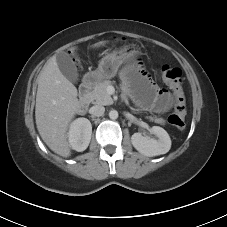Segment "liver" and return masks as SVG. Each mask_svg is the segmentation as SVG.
Instances as JSON below:
<instances>
[{
  "mask_svg": "<svg viewBox=\"0 0 227 227\" xmlns=\"http://www.w3.org/2000/svg\"><path fill=\"white\" fill-rule=\"evenodd\" d=\"M104 43H97L94 47ZM77 96L76 87L62 74L56 56H53L38 78L35 119L42 140L53 152L65 158L71 155L67 129L80 108Z\"/></svg>",
  "mask_w": 227,
  "mask_h": 227,
  "instance_id": "liver-1",
  "label": "liver"
}]
</instances>
